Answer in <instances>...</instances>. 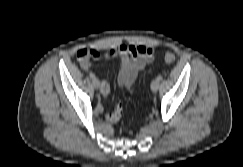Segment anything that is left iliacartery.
Returning a JSON list of instances; mask_svg holds the SVG:
<instances>
[{"label": "left iliac artery", "instance_id": "left-iliac-artery-1", "mask_svg": "<svg viewBox=\"0 0 243 167\" xmlns=\"http://www.w3.org/2000/svg\"><path fill=\"white\" fill-rule=\"evenodd\" d=\"M157 80H158V81H161V80H162V76L159 75V76L157 77Z\"/></svg>", "mask_w": 243, "mask_h": 167}]
</instances>
